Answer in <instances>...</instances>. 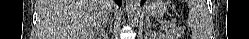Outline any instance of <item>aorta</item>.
I'll use <instances>...</instances> for the list:
<instances>
[{"mask_svg": "<svg viewBox=\"0 0 249 39\" xmlns=\"http://www.w3.org/2000/svg\"><path fill=\"white\" fill-rule=\"evenodd\" d=\"M126 10L129 21L135 23L140 10V0H126Z\"/></svg>", "mask_w": 249, "mask_h": 39, "instance_id": "aorta-1", "label": "aorta"}]
</instances>
